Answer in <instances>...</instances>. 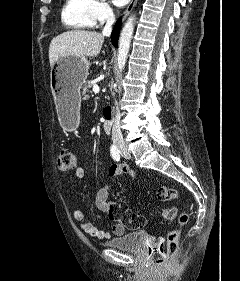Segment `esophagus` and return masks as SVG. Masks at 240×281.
<instances>
[{"label":"esophagus","instance_id":"34e87169","mask_svg":"<svg viewBox=\"0 0 240 281\" xmlns=\"http://www.w3.org/2000/svg\"><path fill=\"white\" fill-rule=\"evenodd\" d=\"M137 3V0H131L130 4L128 5L127 9L125 10V13L123 15V19L133 10Z\"/></svg>","mask_w":240,"mask_h":281}]
</instances>
